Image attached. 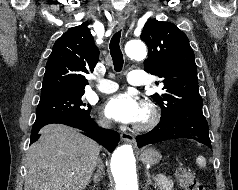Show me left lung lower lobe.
I'll use <instances>...</instances> for the list:
<instances>
[{"mask_svg":"<svg viewBox=\"0 0 238 190\" xmlns=\"http://www.w3.org/2000/svg\"><path fill=\"white\" fill-rule=\"evenodd\" d=\"M136 138L139 148L174 138H190L211 146L208 124L202 108L175 110L171 115L161 117L159 124L153 130Z\"/></svg>","mask_w":238,"mask_h":190,"instance_id":"left-lung-lower-lobe-1","label":"left lung lower lobe"}]
</instances>
